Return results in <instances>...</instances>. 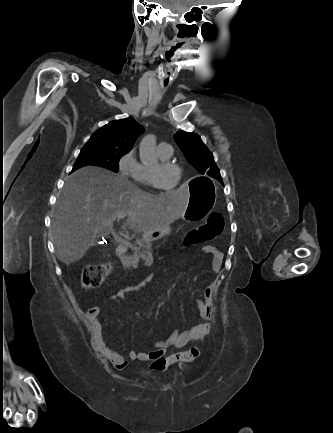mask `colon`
Returning <instances> with one entry per match:
<instances>
[{
  "label": "colon",
  "instance_id": "colon-1",
  "mask_svg": "<svg viewBox=\"0 0 333 433\" xmlns=\"http://www.w3.org/2000/svg\"><path fill=\"white\" fill-rule=\"evenodd\" d=\"M224 229V218L221 213H211L207 220L190 230L183 240L184 246H196L206 244L218 237ZM112 264L91 265L83 269L81 275L82 286L86 289L99 287L106 277L113 270ZM200 355V350L197 346L191 347L189 350L177 353L168 357L161 358L154 362L150 367L151 370L164 372L168 368L180 364L189 363L197 359Z\"/></svg>",
  "mask_w": 333,
  "mask_h": 433
}]
</instances>
